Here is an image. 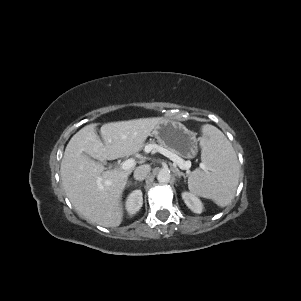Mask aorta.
<instances>
[{
  "instance_id": "1",
  "label": "aorta",
  "mask_w": 301,
  "mask_h": 301,
  "mask_svg": "<svg viewBox=\"0 0 301 301\" xmlns=\"http://www.w3.org/2000/svg\"><path fill=\"white\" fill-rule=\"evenodd\" d=\"M171 179V172L169 168H162L157 175V180L160 183H168Z\"/></svg>"
}]
</instances>
